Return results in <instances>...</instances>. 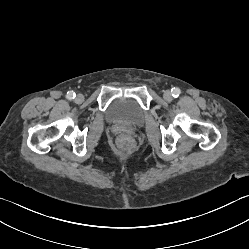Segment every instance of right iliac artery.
<instances>
[{
    "mask_svg": "<svg viewBox=\"0 0 249 249\" xmlns=\"http://www.w3.org/2000/svg\"><path fill=\"white\" fill-rule=\"evenodd\" d=\"M75 96H76V94H75L73 91H69V92L67 93V97H68L69 99H73V98H75Z\"/></svg>",
    "mask_w": 249,
    "mask_h": 249,
    "instance_id": "obj_1",
    "label": "right iliac artery"
}]
</instances>
